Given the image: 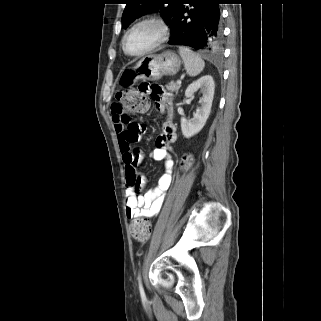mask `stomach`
Returning <instances> with one entry per match:
<instances>
[{"label":"stomach","instance_id":"0dacf381","mask_svg":"<svg viewBox=\"0 0 321 321\" xmlns=\"http://www.w3.org/2000/svg\"><path fill=\"white\" fill-rule=\"evenodd\" d=\"M182 61L173 51H165L159 55L143 57L134 67L124 69L118 82L127 87L138 80H158L166 75H175L181 68Z\"/></svg>","mask_w":321,"mask_h":321}]
</instances>
